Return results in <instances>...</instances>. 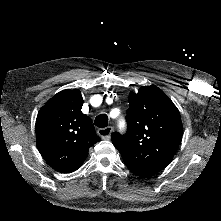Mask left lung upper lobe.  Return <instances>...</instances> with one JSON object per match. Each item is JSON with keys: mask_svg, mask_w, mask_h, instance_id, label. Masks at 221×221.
Wrapping results in <instances>:
<instances>
[{"mask_svg": "<svg viewBox=\"0 0 221 221\" xmlns=\"http://www.w3.org/2000/svg\"><path fill=\"white\" fill-rule=\"evenodd\" d=\"M126 120L127 133H112V143L134 174L158 173L171 162L182 139L177 107L157 86H142L129 94Z\"/></svg>", "mask_w": 221, "mask_h": 221, "instance_id": "5c2ea615", "label": "left lung upper lobe"}]
</instances>
